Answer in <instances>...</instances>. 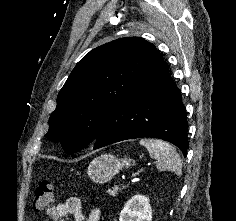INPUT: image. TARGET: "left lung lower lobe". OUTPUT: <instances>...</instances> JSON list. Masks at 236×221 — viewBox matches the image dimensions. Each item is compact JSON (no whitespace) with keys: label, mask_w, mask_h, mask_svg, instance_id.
<instances>
[{"label":"left lung lower lobe","mask_w":236,"mask_h":221,"mask_svg":"<svg viewBox=\"0 0 236 221\" xmlns=\"http://www.w3.org/2000/svg\"><path fill=\"white\" fill-rule=\"evenodd\" d=\"M188 123L181 92L163 57L145 79L113 110L95 139L94 150L109 144L153 137L187 153Z\"/></svg>","instance_id":"obj_1"}]
</instances>
